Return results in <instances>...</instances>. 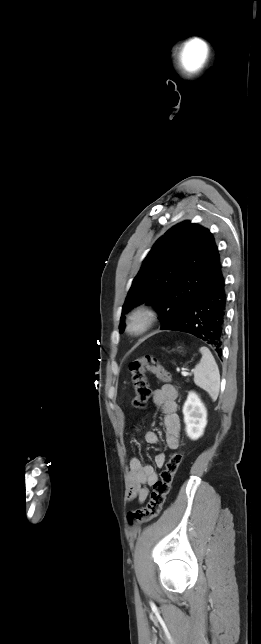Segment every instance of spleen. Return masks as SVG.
Here are the masks:
<instances>
[{
	"label": "spleen",
	"instance_id": "obj_1",
	"mask_svg": "<svg viewBox=\"0 0 261 644\" xmlns=\"http://www.w3.org/2000/svg\"><path fill=\"white\" fill-rule=\"evenodd\" d=\"M199 352L202 354L200 362L194 369V382L197 386L204 389L213 401H215L220 389V373L215 359L206 347H201Z\"/></svg>",
	"mask_w": 261,
	"mask_h": 644
}]
</instances>
